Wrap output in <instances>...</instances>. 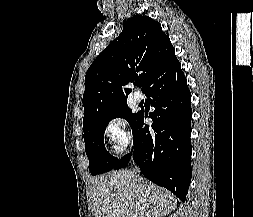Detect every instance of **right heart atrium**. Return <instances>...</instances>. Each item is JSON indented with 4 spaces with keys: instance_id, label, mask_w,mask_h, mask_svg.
Instances as JSON below:
<instances>
[{
    "instance_id": "1",
    "label": "right heart atrium",
    "mask_w": 253,
    "mask_h": 217,
    "mask_svg": "<svg viewBox=\"0 0 253 217\" xmlns=\"http://www.w3.org/2000/svg\"><path fill=\"white\" fill-rule=\"evenodd\" d=\"M104 135L115 154H121L131 140V132L127 121L123 117L110 118L104 127Z\"/></svg>"
}]
</instances>
